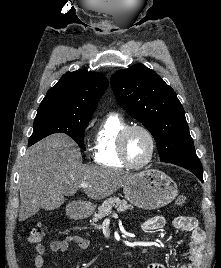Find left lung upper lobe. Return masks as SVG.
Returning a JSON list of instances; mask_svg holds the SVG:
<instances>
[{
  "mask_svg": "<svg viewBox=\"0 0 221 268\" xmlns=\"http://www.w3.org/2000/svg\"><path fill=\"white\" fill-rule=\"evenodd\" d=\"M110 82L119 105L153 135L160 161L195 154L183 106L156 72L136 64L114 73Z\"/></svg>",
  "mask_w": 221,
  "mask_h": 268,
  "instance_id": "left-lung-upper-lobe-1",
  "label": "left lung upper lobe"
}]
</instances>
